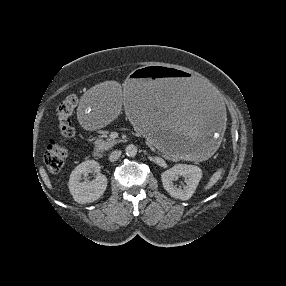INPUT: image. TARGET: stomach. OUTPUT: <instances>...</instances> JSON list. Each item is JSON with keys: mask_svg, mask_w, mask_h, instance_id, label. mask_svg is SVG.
I'll return each mask as SVG.
<instances>
[{"mask_svg": "<svg viewBox=\"0 0 286 286\" xmlns=\"http://www.w3.org/2000/svg\"><path fill=\"white\" fill-rule=\"evenodd\" d=\"M124 93L111 84L97 86L77 101V120L94 130L125 110L155 145L179 155L211 149L223 131L225 115L217 95L207 83L185 71L142 66L128 75Z\"/></svg>", "mask_w": 286, "mask_h": 286, "instance_id": "0dacf381", "label": "stomach"}]
</instances>
